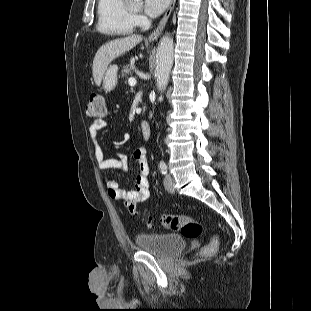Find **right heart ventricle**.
Segmentation results:
<instances>
[{
	"label": "right heart ventricle",
	"instance_id": "obj_1",
	"mask_svg": "<svg viewBox=\"0 0 311 311\" xmlns=\"http://www.w3.org/2000/svg\"><path fill=\"white\" fill-rule=\"evenodd\" d=\"M135 19L125 0H98L97 29L111 36H125L134 31Z\"/></svg>",
	"mask_w": 311,
	"mask_h": 311
}]
</instances>
